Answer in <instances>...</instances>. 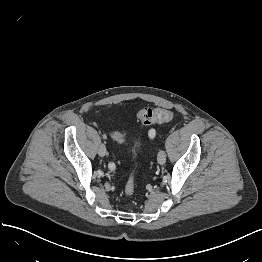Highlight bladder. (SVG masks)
<instances>
[{"label": "bladder", "instance_id": "1", "mask_svg": "<svg viewBox=\"0 0 262 262\" xmlns=\"http://www.w3.org/2000/svg\"><path fill=\"white\" fill-rule=\"evenodd\" d=\"M131 146L136 151H142L144 148V141L141 137H133L131 139Z\"/></svg>", "mask_w": 262, "mask_h": 262}]
</instances>
